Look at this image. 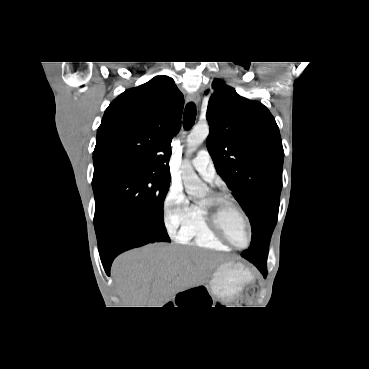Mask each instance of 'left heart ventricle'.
<instances>
[{
	"label": "left heart ventricle",
	"instance_id": "left-heart-ventricle-1",
	"mask_svg": "<svg viewBox=\"0 0 369 369\" xmlns=\"http://www.w3.org/2000/svg\"><path fill=\"white\" fill-rule=\"evenodd\" d=\"M208 197L203 201L205 203ZM202 203V204H203ZM222 226L230 240L238 245L244 246L248 240V232L240 213L232 206H226L221 215Z\"/></svg>",
	"mask_w": 369,
	"mask_h": 369
}]
</instances>
